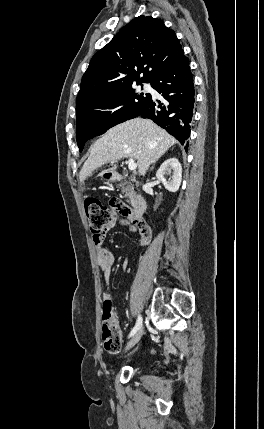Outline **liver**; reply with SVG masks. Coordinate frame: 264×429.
<instances>
[{"mask_svg": "<svg viewBox=\"0 0 264 429\" xmlns=\"http://www.w3.org/2000/svg\"><path fill=\"white\" fill-rule=\"evenodd\" d=\"M176 139L149 119L134 118L109 129L91 148L90 156L80 172V181L92 176L97 168L111 163L113 166L100 173H115L114 163L122 158L137 161L138 172L144 175L150 164L159 159Z\"/></svg>", "mask_w": 264, "mask_h": 429, "instance_id": "1", "label": "liver"}]
</instances>
